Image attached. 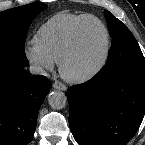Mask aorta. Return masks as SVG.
<instances>
[{
  "label": "aorta",
  "mask_w": 145,
  "mask_h": 145,
  "mask_svg": "<svg viewBox=\"0 0 145 145\" xmlns=\"http://www.w3.org/2000/svg\"><path fill=\"white\" fill-rule=\"evenodd\" d=\"M48 102L53 109H61L67 103V97L64 92L55 90L49 93Z\"/></svg>",
  "instance_id": "1"
}]
</instances>
